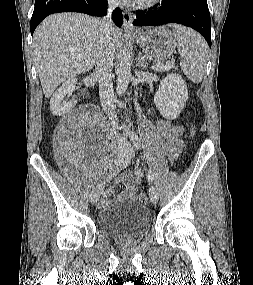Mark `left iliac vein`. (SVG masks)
<instances>
[{
    "label": "left iliac vein",
    "instance_id": "1",
    "mask_svg": "<svg viewBox=\"0 0 253 285\" xmlns=\"http://www.w3.org/2000/svg\"><path fill=\"white\" fill-rule=\"evenodd\" d=\"M125 158H133L134 157V148L131 144H126L125 148ZM149 197L153 204H156L158 201V193L154 186H150L149 188Z\"/></svg>",
    "mask_w": 253,
    "mask_h": 285
}]
</instances>
